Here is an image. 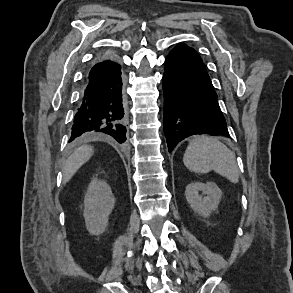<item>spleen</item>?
<instances>
[{
    "label": "spleen",
    "instance_id": "spleen-1",
    "mask_svg": "<svg viewBox=\"0 0 293 293\" xmlns=\"http://www.w3.org/2000/svg\"><path fill=\"white\" fill-rule=\"evenodd\" d=\"M191 171L207 173L214 170L232 183H238L239 170L234 153L216 138L200 136L189 142L183 156Z\"/></svg>",
    "mask_w": 293,
    "mask_h": 293
}]
</instances>
